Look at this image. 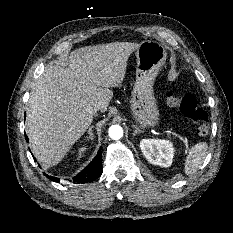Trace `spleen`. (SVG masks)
I'll return each instance as SVG.
<instances>
[{"instance_id": "3e777b00", "label": "spleen", "mask_w": 233, "mask_h": 233, "mask_svg": "<svg viewBox=\"0 0 233 233\" xmlns=\"http://www.w3.org/2000/svg\"><path fill=\"white\" fill-rule=\"evenodd\" d=\"M207 151L208 145L206 142H199L189 150L184 163V171L186 175H192L200 169L207 156Z\"/></svg>"}]
</instances>
